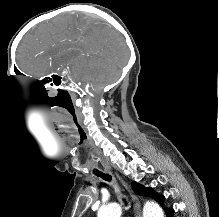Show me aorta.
<instances>
[{
    "instance_id": "obj_1",
    "label": "aorta",
    "mask_w": 219,
    "mask_h": 217,
    "mask_svg": "<svg viewBox=\"0 0 219 217\" xmlns=\"http://www.w3.org/2000/svg\"><path fill=\"white\" fill-rule=\"evenodd\" d=\"M122 210L119 204L112 203L101 207L97 217H121ZM143 217H164L162 208L155 202H147L143 208Z\"/></svg>"
}]
</instances>
